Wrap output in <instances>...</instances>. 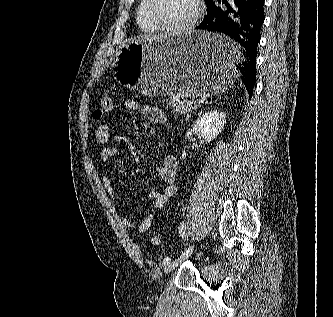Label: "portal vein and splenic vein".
Returning <instances> with one entry per match:
<instances>
[{"label":"portal vein and splenic vein","instance_id":"obj_1","mask_svg":"<svg viewBox=\"0 0 333 317\" xmlns=\"http://www.w3.org/2000/svg\"><path fill=\"white\" fill-rule=\"evenodd\" d=\"M190 103H191V104H196V101H195V100H192ZM201 103H202V102H201Z\"/></svg>","mask_w":333,"mask_h":317}]
</instances>
